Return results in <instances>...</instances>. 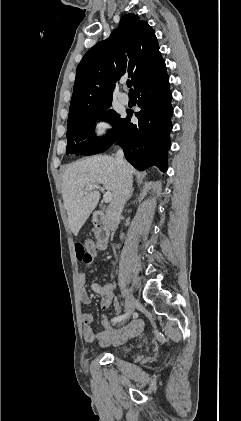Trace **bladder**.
<instances>
[{"label": "bladder", "instance_id": "bladder-1", "mask_svg": "<svg viewBox=\"0 0 241 421\" xmlns=\"http://www.w3.org/2000/svg\"><path fill=\"white\" fill-rule=\"evenodd\" d=\"M131 350H132V347L131 346H125V347L118 348L115 351V353H117V354H126V353H129Z\"/></svg>", "mask_w": 241, "mask_h": 421}]
</instances>
